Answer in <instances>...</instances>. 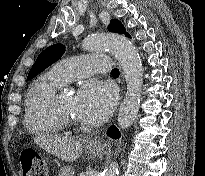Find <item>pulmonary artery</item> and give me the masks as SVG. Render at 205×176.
<instances>
[{
  "label": "pulmonary artery",
  "mask_w": 205,
  "mask_h": 176,
  "mask_svg": "<svg viewBox=\"0 0 205 176\" xmlns=\"http://www.w3.org/2000/svg\"><path fill=\"white\" fill-rule=\"evenodd\" d=\"M110 69L106 55L74 56L57 62L51 72L65 84L89 75L104 73Z\"/></svg>",
  "instance_id": "e3ab8cb5"
}]
</instances>
